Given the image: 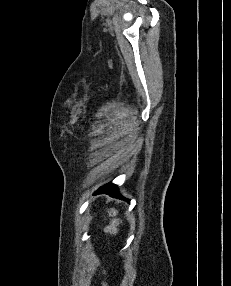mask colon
<instances>
[{"label": "colon", "instance_id": "obj_1", "mask_svg": "<svg viewBox=\"0 0 231 286\" xmlns=\"http://www.w3.org/2000/svg\"><path fill=\"white\" fill-rule=\"evenodd\" d=\"M115 231H116V227H115L114 223L110 224L106 228V233H108V234H113V233H115ZM103 286H107V285L105 283H103Z\"/></svg>", "mask_w": 231, "mask_h": 286}]
</instances>
